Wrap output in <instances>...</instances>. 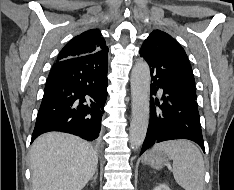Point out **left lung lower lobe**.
Wrapping results in <instances>:
<instances>
[{
	"mask_svg": "<svg viewBox=\"0 0 234 190\" xmlns=\"http://www.w3.org/2000/svg\"><path fill=\"white\" fill-rule=\"evenodd\" d=\"M171 51L166 43L156 49L141 47L140 56L150 67V122L140 155L155 143L174 139L196 142L205 152L197 99L186 94L174 81ZM158 89L163 93L155 98Z\"/></svg>",
	"mask_w": 234,
	"mask_h": 190,
	"instance_id": "1",
	"label": "left lung lower lobe"
}]
</instances>
